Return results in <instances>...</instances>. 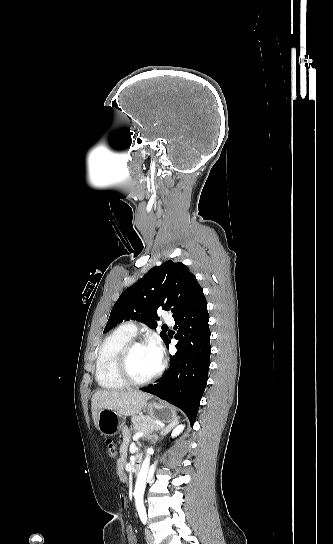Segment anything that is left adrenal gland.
I'll list each match as a JSON object with an SVG mask.
<instances>
[{
  "instance_id": "obj_1",
  "label": "left adrenal gland",
  "mask_w": 333,
  "mask_h": 544,
  "mask_svg": "<svg viewBox=\"0 0 333 544\" xmlns=\"http://www.w3.org/2000/svg\"><path fill=\"white\" fill-rule=\"evenodd\" d=\"M179 421L176 419L172 422H170L166 428L162 429L161 435H166L169 433L176 425H178Z\"/></svg>"
}]
</instances>
